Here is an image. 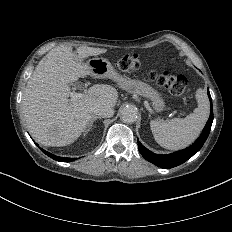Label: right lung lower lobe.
Returning a JSON list of instances; mask_svg holds the SVG:
<instances>
[{"instance_id": "right-lung-lower-lobe-1", "label": "right lung lower lobe", "mask_w": 232, "mask_h": 232, "mask_svg": "<svg viewBox=\"0 0 232 232\" xmlns=\"http://www.w3.org/2000/svg\"><path fill=\"white\" fill-rule=\"evenodd\" d=\"M47 156L51 157L52 159L56 160V161H61V162H71L72 160H75V158H63V157H59L56 155H53L45 150H43L42 148H40Z\"/></svg>"}]
</instances>
